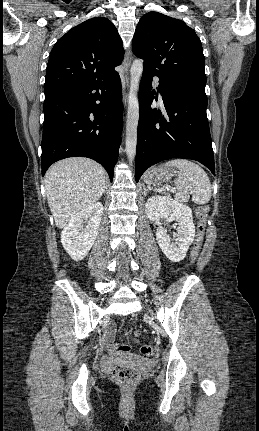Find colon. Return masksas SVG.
Instances as JSON below:
<instances>
[{
  "label": "colon",
  "instance_id": "5ec220e1",
  "mask_svg": "<svg viewBox=\"0 0 259 431\" xmlns=\"http://www.w3.org/2000/svg\"><path fill=\"white\" fill-rule=\"evenodd\" d=\"M209 207L207 205H201L197 208V232L195 241L191 250V262L195 263L200 253L204 233L207 225V215ZM112 351L126 353L130 351V346L126 344H114ZM140 353L145 357H152L154 355V349L150 345H143L140 348ZM112 376L116 381L124 385L135 384L140 378V372L133 367L116 365L112 369Z\"/></svg>",
  "mask_w": 259,
  "mask_h": 431
}]
</instances>
